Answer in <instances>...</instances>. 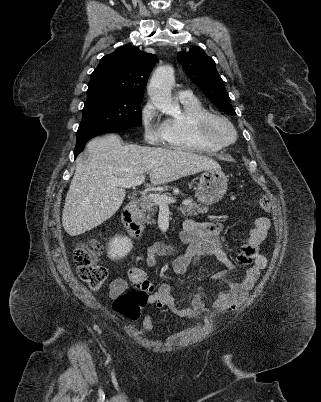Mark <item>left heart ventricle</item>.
Wrapping results in <instances>:
<instances>
[{"instance_id": "b2bd125f", "label": "left heart ventricle", "mask_w": 321, "mask_h": 402, "mask_svg": "<svg viewBox=\"0 0 321 402\" xmlns=\"http://www.w3.org/2000/svg\"><path fill=\"white\" fill-rule=\"evenodd\" d=\"M213 132L215 135L223 138V139H230L231 138V132L229 128L224 125L222 122H215L213 126Z\"/></svg>"}]
</instances>
